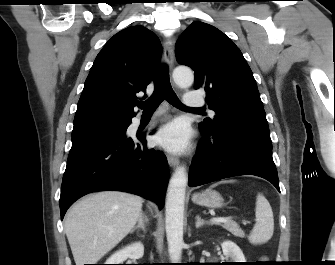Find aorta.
Listing matches in <instances>:
<instances>
[{"mask_svg":"<svg viewBox=\"0 0 335 265\" xmlns=\"http://www.w3.org/2000/svg\"><path fill=\"white\" fill-rule=\"evenodd\" d=\"M175 83L187 88L194 82V74L188 67H177L173 71ZM188 183L186 169L179 166L173 173L166 195V237L168 251L172 261H179L182 255L183 241V220H184V202Z\"/></svg>","mask_w":335,"mask_h":265,"instance_id":"aorta-1","label":"aorta"}]
</instances>
